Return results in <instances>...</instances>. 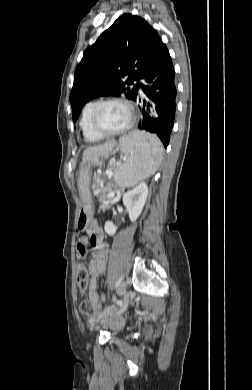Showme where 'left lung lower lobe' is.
Masks as SVG:
<instances>
[{
    "instance_id": "obj_1",
    "label": "left lung lower lobe",
    "mask_w": 252,
    "mask_h": 390,
    "mask_svg": "<svg viewBox=\"0 0 252 390\" xmlns=\"http://www.w3.org/2000/svg\"><path fill=\"white\" fill-rule=\"evenodd\" d=\"M138 85L145 93L143 120L138 128L156 134L167 148L173 128L177 103L175 72L169 51L162 44L159 52L143 74ZM135 101L141 102L137 96Z\"/></svg>"
}]
</instances>
